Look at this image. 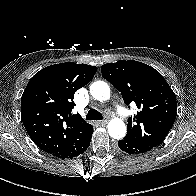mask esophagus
Returning <instances> with one entry per match:
<instances>
[{"label": "esophagus", "instance_id": "esophagus-1", "mask_svg": "<svg viewBox=\"0 0 196 196\" xmlns=\"http://www.w3.org/2000/svg\"><path fill=\"white\" fill-rule=\"evenodd\" d=\"M107 123H108V120H102L99 122V124H101V125H106Z\"/></svg>", "mask_w": 196, "mask_h": 196}]
</instances>
